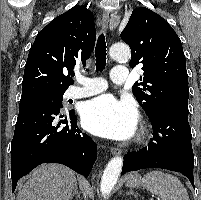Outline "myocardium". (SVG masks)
<instances>
[{
	"mask_svg": "<svg viewBox=\"0 0 201 200\" xmlns=\"http://www.w3.org/2000/svg\"><path fill=\"white\" fill-rule=\"evenodd\" d=\"M145 135H146V129H145V127H141L139 134H138V139L142 140L145 137Z\"/></svg>",
	"mask_w": 201,
	"mask_h": 200,
	"instance_id": "obj_1",
	"label": "myocardium"
}]
</instances>
